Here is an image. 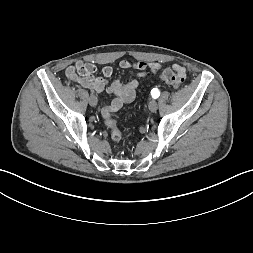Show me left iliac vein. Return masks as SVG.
<instances>
[{"instance_id":"1","label":"left iliac vein","mask_w":253,"mask_h":253,"mask_svg":"<svg viewBox=\"0 0 253 253\" xmlns=\"http://www.w3.org/2000/svg\"><path fill=\"white\" fill-rule=\"evenodd\" d=\"M149 110L151 111V112H156V110L158 109V104H157V101L156 100H151L150 102H149Z\"/></svg>"}]
</instances>
